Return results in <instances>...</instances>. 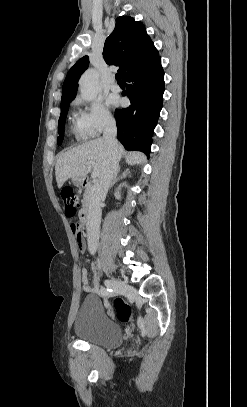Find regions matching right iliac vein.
Returning a JSON list of instances; mask_svg holds the SVG:
<instances>
[{"mask_svg": "<svg viewBox=\"0 0 247 407\" xmlns=\"http://www.w3.org/2000/svg\"><path fill=\"white\" fill-rule=\"evenodd\" d=\"M105 284L107 287H110L120 292L128 293L132 291V287L130 285L116 279H106Z\"/></svg>", "mask_w": 247, "mask_h": 407, "instance_id": "63e3f726", "label": "right iliac vein"}]
</instances>
